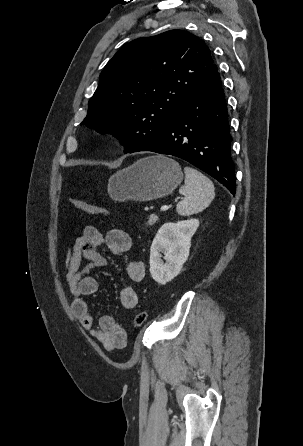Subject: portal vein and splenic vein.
Returning a JSON list of instances; mask_svg holds the SVG:
<instances>
[{
  "label": "portal vein and splenic vein",
  "instance_id": "obj_1",
  "mask_svg": "<svg viewBox=\"0 0 303 446\" xmlns=\"http://www.w3.org/2000/svg\"><path fill=\"white\" fill-rule=\"evenodd\" d=\"M168 209H169V206L164 205V206L161 207L160 210H161L162 212H164V211H167Z\"/></svg>",
  "mask_w": 303,
  "mask_h": 446
}]
</instances>
